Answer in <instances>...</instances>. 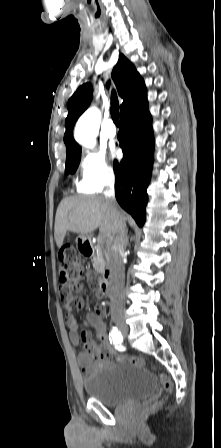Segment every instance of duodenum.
Returning <instances> with one entry per match:
<instances>
[{"instance_id": "obj_1", "label": "duodenum", "mask_w": 221, "mask_h": 448, "mask_svg": "<svg viewBox=\"0 0 221 448\" xmlns=\"http://www.w3.org/2000/svg\"><path fill=\"white\" fill-rule=\"evenodd\" d=\"M79 250L81 254L86 258H91L95 254L94 244L89 236L82 237L81 242L79 243ZM111 278V271L108 268H105L99 282V289L104 297H108L111 293Z\"/></svg>"}]
</instances>
